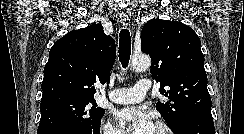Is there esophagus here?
<instances>
[{"instance_id": "1", "label": "esophagus", "mask_w": 244, "mask_h": 134, "mask_svg": "<svg viewBox=\"0 0 244 134\" xmlns=\"http://www.w3.org/2000/svg\"><path fill=\"white\" fill-rule=\"evenodd\" d=\"M120 21L124 26H128L129 23V17L126 13H121L120 14Z\"/></svg>"}]
</instances>
